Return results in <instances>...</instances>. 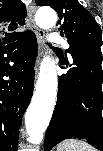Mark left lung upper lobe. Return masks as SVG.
Here are the masks:
<instances>
[{
	"instance_id": "1",
	"label": "left lung upper lobe",
	"mask_w": 103,
	"mask_h": 151,
	"mask_svg": "<svg viewBox=\"0 0 103 151\" xmlns=\"http://www.w3.org/2000/svg\"><path fill=\"white\" fill-rule=\"evenodd\" d=\"M38 6H50L57 11L64 33L70 45V52L80 46H102V32L94 17L78 0H35Z\"/></svg>"
}]
</instances>
